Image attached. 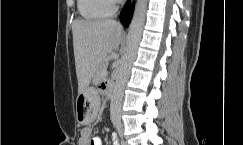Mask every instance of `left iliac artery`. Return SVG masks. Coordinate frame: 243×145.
I'll list each match as a JSON object with an SVG mask.
<instances>
[{
  "instance_id": "obj_1",
  "label": "left iliac artery",
  "mask_w": 243,
  "mask_h": 145,
  "mask_svg": "<svg viewBox=\"0 0 243 145\" xmlns=\"http://www.w3.org/2000/svg\"><path fill=\"white\" fill-rule=\"evenodd\" d=\"M116 128H117L119 135L122 137L123 136L122 125L120 123H117Z\"/></svg>"
}]
</instances>
